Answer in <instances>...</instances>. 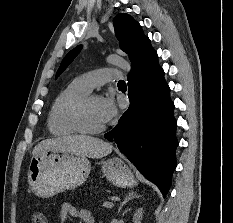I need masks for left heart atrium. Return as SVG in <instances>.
Segmentation results:
<instances>
[{
  "instance_id": "obj_1",
  "label": "left heart atrium",
  "mask_w": 233,
  "mask_h": 223,
  "mask_svg": "<svg viewBox=\"0 0 233 223\" xmlns=\"http://www.w3.org/2000/svg\"><path fill=\"white\" fill-rule=\"evenodd\" d=\"M118 114L117 104L113 96L99 98L98 115L103 124L110 123Z\"/></svg>"
}]
</instances>
